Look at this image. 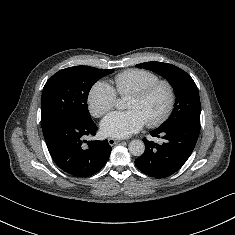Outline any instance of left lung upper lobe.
Returning a JSON list of instances; mask_svg holds the SVG:
<instances>
[{"mask_svg":"<svg viewBox=\"0 0 235 235\" xmlns=\"http://www.w3.org/2000/svg\"><path fill=\"white\" fill-rule=\"evenodd\" d=\"M156 72L169 81L176 95L175 106L169 119L157 129H166L182 123L200 125V98L193 79L182 69L168 63L145 62L136 65Z\"/></svg>","mask_w":235,"mask_h":235,"instance_id":"5c2ea615","label":"left lung upper lobe"}]
</instances>
